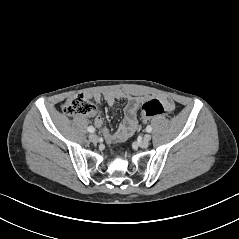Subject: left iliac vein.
Masks as SVG:
<instances>
[{
  "instance_id": "1",
  "label": "left iliac vein",
  "mask_w": 239,
  "mask_h": 239,
  "mask_svg": "<svg viewBox=\"0 0 239 239\" xmlns=\"http://www.w3.org/2000/svg\"><path fill=\"white\" fill-rule=\"evenodd\" d=\"M150 140H151V136L149 134L145 135L143 140L139 143V146L141 148H146L148 147L149 143H150Z\"/></svg>"
}]
</instances>
